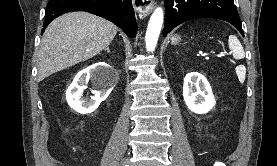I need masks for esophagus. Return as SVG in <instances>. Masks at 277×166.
Returning a JSON list of instances; mask_svg holds the SVG:
<instances>
[{
	"label": "esophagus",
	"mask_w": 277,
	"mask_h": 166,
	"mask_svg": "<svg viewBox=\"0 0 277 166\" xmlns=\"http://www.w3.org/2000/svg\"><path fill=\"white\" fill-rule=\"evenodd\" d=\"M132 3L140 18H144L149 15L154 7L153 0H132Z\"/></svg>",
	"instance_id": "obj_1"
}]
</instances>
